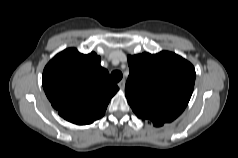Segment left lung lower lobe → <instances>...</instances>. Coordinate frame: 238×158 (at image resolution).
Listing matches in <instances>:
<instances>
[{
	"label": "left lung lower lobe",
	"instance_id": "left-lung-lower-lobe-1",
	"mask_svg": "<svg viewBox=\"0 0 238 158\" xmlns=\"http://www.w3.org/2000/svg\"><path fill=\"white\" fill-rule=\"evenodd\" d=\"M164 123H153L155 126H162Z\"/></svg>",
	"mask_w": 238,
	"mask_h": 158
}]
</instances>
